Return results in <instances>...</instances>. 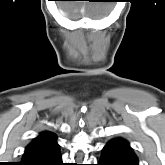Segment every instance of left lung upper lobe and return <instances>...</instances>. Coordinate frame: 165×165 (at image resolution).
Returning <instances> with one entry per match:
<instances>
[{"mask_svg": "<svg viewBox=\"0 0 165 165\" xmlns=\"http://www.w3.org/2000/svg\"><path fill=\"white\" fill-rule=\"evenodd\" d=\"M105 148L115 149L122 152L123 157L138 162L136 155L133 153L128 142L124 139H116L108 143Z\"/></svg>", "mask_w": 165, "mask_h": 165, "instance_id": "obj_1", "label": "left lung upper lobe"}]
</instances>
